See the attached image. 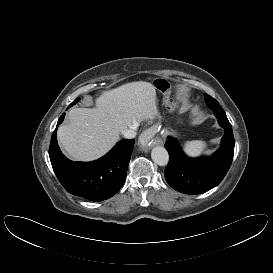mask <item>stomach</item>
Wrapping results in <instances>:
<instances>
[{
  "label": "stomach",
  "mask_w": 273,
  "mask_h": 273,
  "mask_svg": "<svg viewBox=\"0 0 273 273\" xmlns=\"http://www.w3.org/2000/svg\"><path fill=\"white\" fill-rule=\"evenodd\" d=\"M155 85L157 86V88L159 89V91L161 93H163V95L168 96L171 93V84L169 81L165 80V79H158L155 81ZM160 126V123L157 124V127Z\"/></svg>",
  "instance_id": "stomach-1"
}]
</instances>
